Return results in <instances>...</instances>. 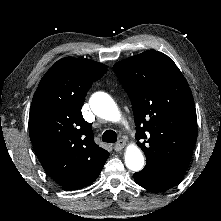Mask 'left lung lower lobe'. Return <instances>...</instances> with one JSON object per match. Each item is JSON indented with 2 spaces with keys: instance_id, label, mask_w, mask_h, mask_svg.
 Wrapping results in <instances>:
<instances>
[{
  "instance_id": "1",
  "label": "left lung lower lobe",
  "mask_w": 221,
  "mask_h": 221,
  "mask_svg": "<svg viewBox=\"0 0 221 221\" xmlns=\"http://www.w3.org/2000/svg\"><path fill=\"white\" fill-rule=\"evenodd\" d=\"M183 176L184 174L139 172L134 174V180L145 189L161 192L177 185Z\"/></svg>"
}]
</instances>
